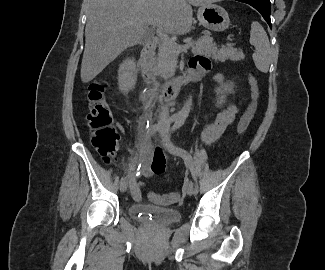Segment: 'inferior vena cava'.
Listing matches in <instances>:
<instances>
[{
	"label": "inferior vena cava",
	"instance_id": "obj_1",
	"mask_svg": "<svg viewBox=\"0 0 325 270\" xmlns=\"http://www.w3.org/2000/svg\"><path fill=\"white\" fill-rule=\"evenodd\" d=\"M168 115H169V108H168V106L166 105V106H164V107L162 108V112H161V114H160V118H161L162 120H165V119L168 117Z\"/></svg>",
	"mask_w": 325,
	"mask_h": 270
}]
</instances>
